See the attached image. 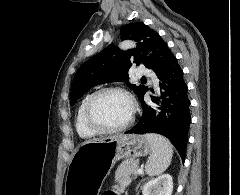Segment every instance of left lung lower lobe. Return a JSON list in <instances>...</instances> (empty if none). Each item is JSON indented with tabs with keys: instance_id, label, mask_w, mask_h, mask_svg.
Segmentation results:
<instances>
[{
	"instance_id": "left-lung-lower-lobe-1",
	"label": "left lung lower lobe",
	"mask_w": 240,
	"mask_h": 195,
	"mask_svg": "<svg viewBox=\"0 0 240 195\" xmlns=\"http://www.w3.org/2000/svg\"><path fill=\"white\" fill-rule=\"evenodd\" d=\"M160 96L151 97L153 103H142L139 122L126 133H158L167 137L185 159L188 131L191 123L190 100L183 71L172 54L156 73Z\"/></svg>"
}]
</instances>
